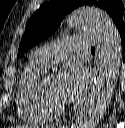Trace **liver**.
I'll return each mask as SVG.
<instances>
[{
  "label": "liver",
  "mask_w": 125,
  "mask_h": 128,
  "mask_svg": "<svg viewBox=\"0 0 125 128\" xmlns=\"http://www.w3.org/2000/svg\"><path fill=\"white\" fill-rule=\"evenodd\" d=\"M16 128H27V127H24V126H17Z\"/></svg>",
  "instance_id": "obj_1"
}]
</instances>
